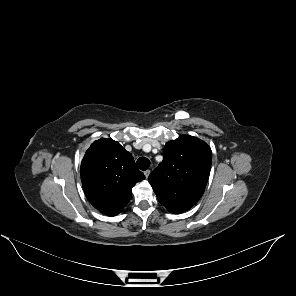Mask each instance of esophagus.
<instances>
[{
    "mask_svg": "<svg viewBox=\"0 0 296 296\" xmlns=\"http://www.w3.org/2000/svg\"><path fill=\"white\" fill-rule=\"evenodd\" d=\"M144 175H145V177H146V179L149 177V175H150V171L149 170H146L145 172H144Z\"/></svg>",
    "mask_w": 296,
    "mask_h": 296,
    "instance_id": "34e87169",
    "label": "esophagus"
}]
</instances>
